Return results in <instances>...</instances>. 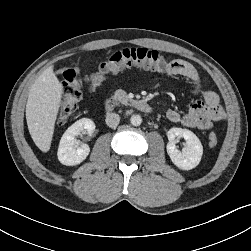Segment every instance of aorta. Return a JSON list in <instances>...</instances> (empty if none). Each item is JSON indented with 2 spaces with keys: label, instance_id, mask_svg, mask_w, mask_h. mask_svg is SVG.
<instances>
[{
  "label": "aorta",
  "instance_id": "aorta-1",
  "mask_svg": "<svg viewBox=\"0 0 251 251\" xmlns=\"http://www.w3.org/2000/svg\"><path fill=\"white\" fill-rule=\"evenodd\" d=\"M130 122L134 126H139L142 123V118L140 115H132L130 118Z\"/></svg>",
  "mask_w": 251,
  "mask_h": 251
}]
</instances>
